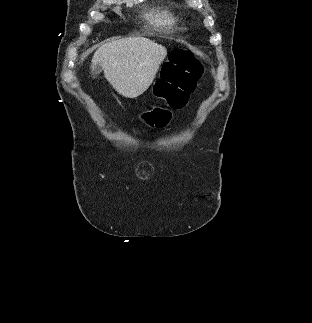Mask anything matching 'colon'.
<instances>
[{
    "mask_svg": "<svg viewBox=\"0 0 312 323\" xmlns=\"http://www.w3.org/2000/svg\"><path fill=\"white\" fill-rule=\"evenodd\" d=\"M202 73L203 65L192 52L176 49L165 66V78L157 79V94L171 109H180L188 94L193 91L195 80ZM171 119L169 110L163 107L145 114V123L156 128H163Z\"/></svg>",
    "mask_w": 312,
    "mask_h": 323,
    "instance_id": "colon-1",
    "label": "colon"
}]
</instances>
